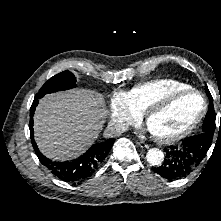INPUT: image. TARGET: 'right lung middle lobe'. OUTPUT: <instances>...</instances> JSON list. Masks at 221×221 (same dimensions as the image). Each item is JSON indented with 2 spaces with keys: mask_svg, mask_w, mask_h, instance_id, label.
Here are the masks:
<instances>
[{
  "mask_svg": "<svg viewBox=\"0 0 221 221\" xmlns=\"http://www.w3.org/2000/svg\"><path fill=\"white\" fill-rule=\"evenodd\" d=\"M76 87V77L69 71H63L51 77L39 90L36 97H43L47 93L67 90Z\"/></svg>",
  "mask_w": 221,
  "mask_h": 221,
  "instance_id": "1",
  "label": "right lung middle lobe"
}]
</instances>
